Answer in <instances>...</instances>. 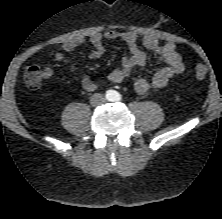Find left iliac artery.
Listing matches in <instances>:
<instances>
[{"label":"left iliac artery","mask_w":222,"mask_h":219,"mask_svg":"<svg viewBox=\"0 0 222 219\" xmlns=\"http://www.w3.org/2000/svg\"><path fill=\"white\" fill-rule=\"evenodd\" d=\"M116 98H117V100H121V95L117 93Z\"/></svg>","instance_id":"left-iliac-artery-1"}]
</instances>
